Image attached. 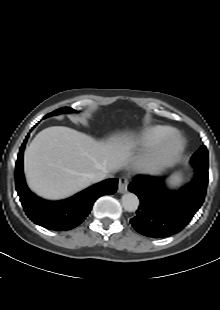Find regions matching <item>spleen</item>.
<instances>
[{
  "label": "spleen",
  "mask_w": 220,
  "mask_h": 310,
  "mask_svg": "<svg viewBox=\"0 0 220 310\" xmlns=\"http://www.w3.org/2000/svg\"><path fill=\"white\" fill-rule=\"evenodd\" d=\"M181 181H182V178L177 175L170 181V186L172 187L179 186Z\"/></svg>",
  "instance_id": "1"
}]
</instances>
